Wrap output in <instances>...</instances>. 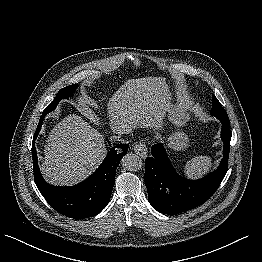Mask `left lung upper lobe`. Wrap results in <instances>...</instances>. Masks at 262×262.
Segmentation results:
<instances>
[{
  "instance_id": "5c2ea615",
  "label": "left lung upper lobe",
  "mask_w": 262,
  "mask_h": 262,
  "mask_svg": "<svg viewBox=\"0 0 262 262\" xmlns=\"http://www.w3.org/2000/svg\"><path fill=\"white\" fill-rule=\"evenodd\" d=\"M212 109H211V115L215 116V117H219L222 115H227L226 111L224 110V108L221 106V104L219 103L218 99L215 97L214 94H212Z\"/></svg>"
}]
</instances>
